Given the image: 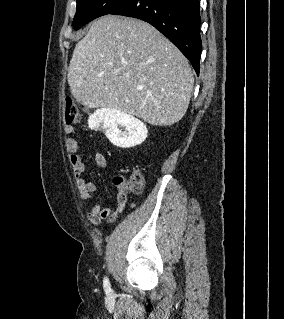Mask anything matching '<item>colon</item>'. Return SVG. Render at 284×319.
Masks as SVG:
<instances>
[{
  "mask_svg": "<svg viewBox=\"0 0 284 319\" xmlns=\"http://www.w3.org/2000/svg\"><path fill=\"white\" fill-rule=\"evenodd\" d=\"M65 119L68 125L75 124L81 121V112L70 97L66 98ZM115 184L120 191L139 193L143 188L144 178L141 173L135 172L129 180H125L122 177H117L115 179Z\"/></svg>",
  "mask_w": 284,
  "mask_h": 319,
  "instance_id": "5ec220e1",
  "label": "colon"
}]
</instances>
